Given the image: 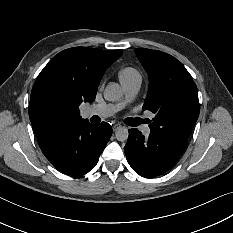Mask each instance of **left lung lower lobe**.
<instances>
[{"label": "left lung lower lobe", "mask_w": 233, "mask_h": 233, "mask_svg": "<svg viewBox=\"0 0 233 233\" xmlns=\"http://www.w3.org/2000/svg\"><path fill=\"white\" fill-rule=\"evenodd\" d=\"M124 147L127 160L140 176L153 178L170 170L179 160L187 141L150 133L145 138L138 129H129Z\"/></svg>", "instance_id": "left-lung-lower-lobe-1"}]
</instances>
